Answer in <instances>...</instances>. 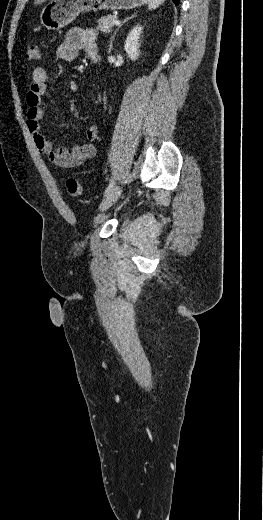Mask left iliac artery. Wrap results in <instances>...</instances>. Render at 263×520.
Returning <instances> with one entry per match:
<instances>
[{
	"mask_svg": "<svg viewBox=\"0 0 263 520\" xmlns=\"http://www.w3.org/2000/svg\"><path fill=\"white\" fill-rule=\"evenodd\" d=\"M114 184H115L114 180H111V182L109 183L108 187L105 190V195H107L113 189Z\"/></svg>",
	"mask_w": 263,
	"mask_h": 520,
	"instance_id": "1",
	"label": "left iliac artery"
}]
</instances>
